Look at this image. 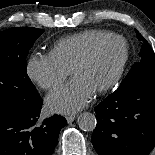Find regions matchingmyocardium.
<instances>
[{
    "mask_svg": "<svg viewBox=\"0 0 155 155\" xmlns=\"http://www.w3.org/2000/svg\"><path fill=\"white\" fill-rule=\"evenodd\" d=\"M110 40H119L123 43L124 56H123L122 62L120 64L116 74L114 75V77L106 85H104L103 87L98 89L94 93L96 95H100V94L110 91L112 88H114L119 83V81L121 80V78L124 74V71L128 64V61H129V55H130L129 44L124 36L117 34V33H109L108 35L100 38L88 49V51L74 64V66L70 70V74L73 77V75L78 70L82 69L84 66H86L93 59V57L95 56V54L97 53L99 48L104 43H106Z\"/></svg>",
    "mask_w": 155,
    "mask_h": 155,
    "instance_id": "f54148a6",
    "label": "myocardium"
}]
</instances>
